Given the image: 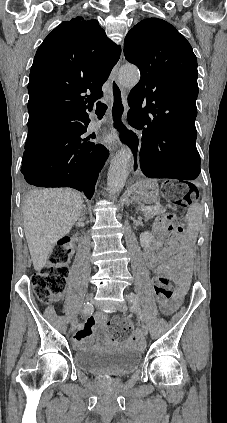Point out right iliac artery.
I'll list each match as a JSON object with an SVG mask.
<instances>
[{
	"label": "right iliac artery",
	"mask_w": 227,
	"mask_h": 423,
	"mask_svg": "<svg viewBox=\"0 0 227 423\" xmlns=\"http://www.w3.org/2000/svg\"><path fill=\"white\" fill-rule=\"evenodd\" d=\"M91 307H92V305L89 303V302H87L86 304H85V307H84V315L87 317V316H90L91 315ZM84 327V324L83 323H79L78 324V329L79 330H81L82 328Z\"/></svg>",
	"instance_id": "obj_1"
}]
</instances>
